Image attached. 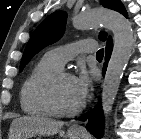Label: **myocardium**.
Returning <instances> with one entry per match:
<instances>
[{"label":"myocardium","instance_id":"1","mask_svg":"<svg viewBox=\"0 0 141 139\" xmlns=\"http://www.w3.org/2000/svg\"><path fill=\"white\" fill-rule=\"evenodd\" d=\"M64 77H73L70 73L65 71H58L55 74H53L44 84L43 90H42V97L43 101L45 103L46 108L48 109L49 113L53 116L57 117H68L73 116L80 112L82 108L84 107V101H82L80 104L75 106L72 109L63 110L60 109L56 103L55 98V91L58 82L64 78Z\"/></svg>","mask_w":141,"mask_h":139}]
</instances>
